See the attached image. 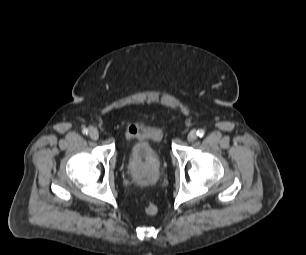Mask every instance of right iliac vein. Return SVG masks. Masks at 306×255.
I'll use <instances>...</instances> for the list:
<instances>
[{"label":"right iliac vein","instance_id":"right-iliac-vein-1","mask_svg":"<svg viewBox=\"0 0 306 255\" xmlns=\"http://www.w3.org/2000/svg\"><path fill=\"white\" fill-rule=\"evenodd\" d=\"M89 136L93 140H97L99 138V132L97 129H91L89 132Z\"/></svg>","mask_w":306,"mask_h":255}]
</instances>
